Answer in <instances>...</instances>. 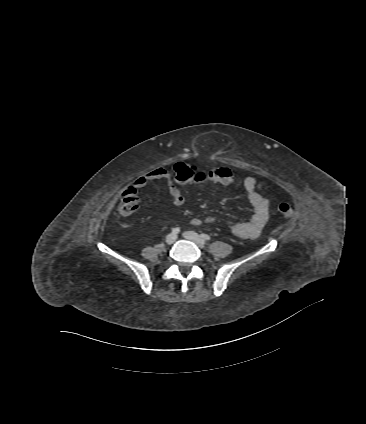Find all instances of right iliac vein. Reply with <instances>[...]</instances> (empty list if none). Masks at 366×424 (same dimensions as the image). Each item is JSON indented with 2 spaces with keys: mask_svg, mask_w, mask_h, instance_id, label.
<instances>
[{
  "mask_svg": "<svg viewBox=\"0 0 366 424\" xmlns=\"http://www.w3.org/2000/svg\"><path fill=\"white\" fill-rule=\"evenodd\" d=\"M176 238H177L176 235L171 233V234L166 236V243L171 245L176 241Z\"/></svg>",
  "mask_w": 366,
  "mask_h": 424,
  "instance_id": "1",
  "label": "right iliac vein"
}]
</instances>
